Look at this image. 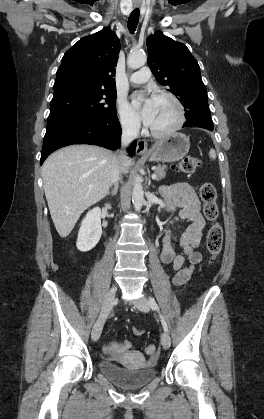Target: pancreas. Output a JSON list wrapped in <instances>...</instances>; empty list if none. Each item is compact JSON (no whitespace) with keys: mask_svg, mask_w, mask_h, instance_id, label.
Wrapping results in <instances>:
<instances>
[{"mask_svg":"<svg viewBox=\"0 0 264 419\" xmlns=\"http://www.w3.org/2000/svg\"><path fill=\"white\" fill-rule=\"evenodd\" d=\"M165 169H166V166H159L155 169V174L157 175V178H156L157 181L165 177L166 175Z\"/></svg>","mask_w":264,"mask_h":419,"instance_id":"1","label":"pancreas"}]
</instances>
